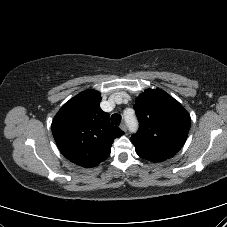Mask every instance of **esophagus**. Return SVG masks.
<instances>
[{
    "instance_id": "34e87169",
    "label": "esophagus",
    "mask_w": 227,
    "mask_h": 227,
    "mask_svg": "<svg viewBox=\"0 0 227 227\" xmlns=\"http://www.w3.org/2000/svg\"><path fill=\"white\" fill-rule=\"evenodd\" d=\"M120 129H121L122 131H124V132L127 131V127H126V125H125L124 123H121V124H120Z\"/></svg>"
}]
</instances>
